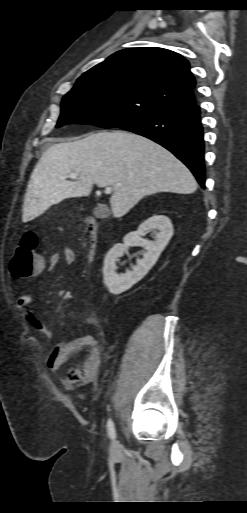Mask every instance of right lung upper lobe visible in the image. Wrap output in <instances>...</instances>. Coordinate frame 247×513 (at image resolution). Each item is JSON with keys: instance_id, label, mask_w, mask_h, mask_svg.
Masks as SVG:
<instances>
[{"instance_id": "right-lung-upper-lobe-1", "label": "right lung upper lobe", "mask_w": 247, "mask_h": 513, "mask_svg": "<svg viewBox=\"0 0 247 513\" xmlns=\"http://www.w3.org/2000/svg\"><path fill=\"white\" fill-rule=\"evenodd\" d=\"M79 88L125 89L142 94L167 108L195 103L196 82L189 62L181 55L157 47L120 50L85 72Z\"/></svg>"}]
</instances>
